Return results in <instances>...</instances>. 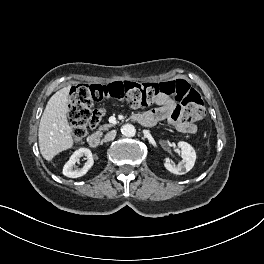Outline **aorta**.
Here are the masks:
<instances>
[{
	"mask_svg": "<svg viewBox=\"0 0 264 264\" xmlns=\"http://www.w3.org/2000/svg\"><path fill=\"white\" fill-rule=\"evenodd\" d=\"M121 133L126 137H133L136 134V129L132 124H125L121 128Z\"/></svg>",
	"mask_w": 264,
	"mask_h": 264,
	"instance_id": "obj_1",
	"label": "aorta"
}]
</instances>
